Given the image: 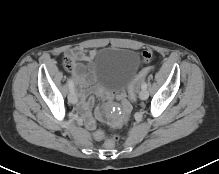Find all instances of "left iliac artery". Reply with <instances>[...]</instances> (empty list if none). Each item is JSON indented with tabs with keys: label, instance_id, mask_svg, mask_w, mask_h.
Returning a JSON list of instances; mask_svg holds the SVG:
<instances>
[{
	"label": "left iliac artery",
	"instance_id": "left-iliac-artery-1",
	"mask_svg": "<svg viewBox=\"0 0 219 174\" xmlns=\"http://www.w3.org/2000/svg\"><path fill=\"white\" fill-rule=\"evenodd\" d=\"M141 88H142V89H146V88H147V83H146V82H143V83L141 84Z\"/></svg>",
	"mask_w": 219,
	"mask_h": 174
}]
</instances>
